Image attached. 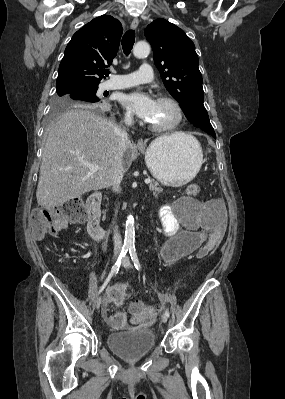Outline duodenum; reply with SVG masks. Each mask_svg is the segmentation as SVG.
Segmentation results:
<instances>
[{
    "label": "duodenum",
    "instance_id": "1",
    "mask_svg": "<svg viewBox=\"0 0 285 399\" xmlns=\"http://www.w3.org/2000/svg\"><path fill=\"white\" fill-rule=\"evenodd\" d=\"M102 196L100 193L92 194L87 200V227L89 234L96 240H103L108 236V230L102 225L100 205Z\"/></svg>",
    "mask_w": 285,
    "mask_h": 399
}]
</instances>
